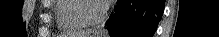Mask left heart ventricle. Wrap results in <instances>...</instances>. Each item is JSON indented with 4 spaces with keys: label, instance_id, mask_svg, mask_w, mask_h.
<instances>
[{
    "label": "left heart ventricle",
    "instance_id": "b2bd125f",
    "mask_svg": "<svg viewBox=\"0 0 219 37\" xmlns=\"http://www.w3.org/2000/svg\"><path fill=\"white\" fill-rule=\"evenodd\" d=\"M86 11L88 13L89 16L91 17H96L98 16L101 11H102V8H103V5L101 2H88L86 4Z\"/></svg>",
    "mask_w": 219,
    "mask_h": 37
}]
</instances>
